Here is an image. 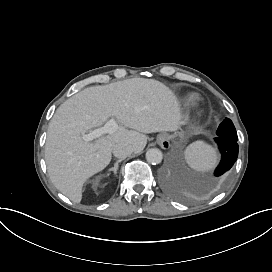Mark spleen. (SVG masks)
Segmentation results:
<instances>
[{
    "label": "spleen",
    "instance_id": "1",
    "mask_svg": "<svg viewBox=\"0 0 272 272\" xmlns=\"http://www.w3.org/2000/svg\"><path fill=\"white\" fill-rule=\"evenodd\" d=\"M184 153L186 162L196 171H209L218 161L215 148L200 140L190 144Z\"/></svg>",
    "mask_w": 272,
    "mask_h": 272
}]
</instances>
